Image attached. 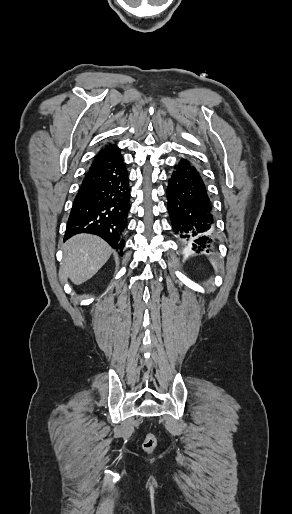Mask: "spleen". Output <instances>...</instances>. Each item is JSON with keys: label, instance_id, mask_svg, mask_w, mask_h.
Returning a JSON list of instances; mask_svg holds the SVG:
<instances>
[{"label": "spleen", "instance_id": "obj_1", "mask_svg": "<svg viewBox=\"0 0 292 514\" xmlns=\"http://www.w3.org/2000/svg\"><path fill=\"white\" fill-rule=\"evenodd\" d=\"M211 264H213L214 268H216V266H215L214 262H211Z\"/></svg>", "mask_w": 292, "mask_h": 514}]
</instances>
